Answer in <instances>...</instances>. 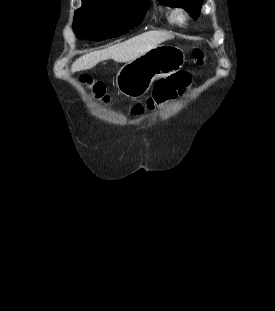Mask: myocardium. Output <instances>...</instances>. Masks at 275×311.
Returning <instances> with one entry per match:
<instances>
[{"mask_svg": "<svg viewBox=\"0 0 275 311\" xmlns=\"http://www.w3.org/2000/svg\"><path fill=\"white\" fill-rule=\"evenodd\" d=\"M172 20L175 25L182 26L188 20V13L182 8H176L172 12Z\"/></svg>", "mask_w": 275, "mask_h": 311, "instance_id": "myocardium-1", "label": "myocardium"}]
</instances>
